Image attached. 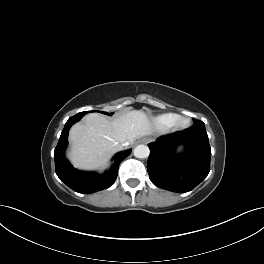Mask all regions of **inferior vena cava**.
Wrapping results in <instances>:
<instances>
[{
    "label": "inferior vena cava",
    "instance_id": "1",
    "mask_svg": "<svg viewBox=\"0 0 264 264\" xmlns=\"http://www.w3.org/2000/svg\"><path fill=\"white\" fill-rule=\"evenodd\" d=\"M129 145V142L128 141H125L122 143V146H128Z\"/></svg>",
    "mask_w": 264,
    "mask_h": 264
}]
</instances>
